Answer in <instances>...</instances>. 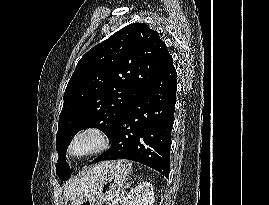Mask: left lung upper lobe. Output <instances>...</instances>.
I'll list each match as a JSON object with an SVG mask.
<instances>
[{"label": "left lung upper lobe", "mask_w": 269, "mask_h": 205, "mask_svg": "<svg viewBox=\"0 0 269 205\" xmlns=\"http://www.w3.org/2000/svg\"><path fill=\"white\" fill-rule=\"evenodd\" d=\"M170 54L159 34L143 23L130 24L90 49L78 62L64 93L57 132L56 174H72L66 150L82 129L107 136L125 110L163 69Z\"/></svg>", "instance_id": "obj_1"}]
</instances>
